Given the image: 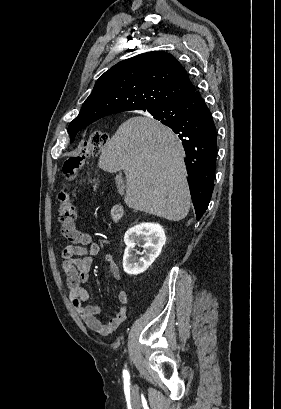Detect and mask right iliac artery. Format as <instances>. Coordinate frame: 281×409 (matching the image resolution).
Segmentation results:
<instances>
[{"instance_id":"82829eb1","label":"right iliac artery","mask_w":281,"mask_h":409,"mask_svg":"<svg viewBox=\"0 0 281 409\" xmlns=\"http://www.w3.org/2000/svg\"><path fill=\"white\" fill-rule=\"evenodd\" d=\"M124 377H127L128 376V372L126 371V370H124Z\"/></svg>"}]
</instances>
